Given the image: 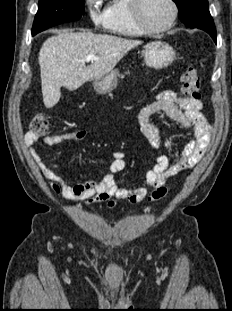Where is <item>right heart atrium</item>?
Instances as JSON below:
<instances>
[{
    "mask_svg": "<svg viewBox=\"0 0 232 311\" xmlns=\"http://www.w3.org/2000/svg\"><path fill=\"white\" fill-rule=\"evenodd\" d=\"M102 0H85V6L95 26H104L106 13L100 9Z\"/></svg>",
    "mask_w": 232,
    "mask_h": 311,
    "instance_id": "right-heart-atrium-1",
    "label": "right heart atrium"
}]
</instances>
